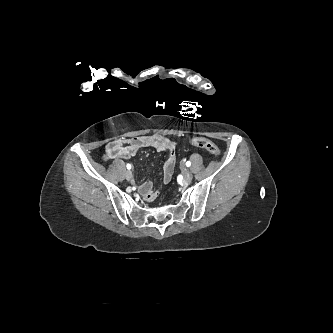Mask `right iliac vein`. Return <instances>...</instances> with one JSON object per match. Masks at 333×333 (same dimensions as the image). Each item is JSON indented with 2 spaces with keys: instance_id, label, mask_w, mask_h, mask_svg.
I'll return each instance as SVG.
<instances>
[{
  "instance_id": "obj_1",
  "label": "right iliac vein",
  "mask_w": 333,
  "mask_h": 333,
  "mask_svg": "<svg viewBox=\"0 0 333 333\" xmlns=\"http://www.w3.org/2000/svg\"><path fill=\"white\" fill-rule=\"evenodd\" d=\"M125 176H126V179H127V180H131L132 177H133L132 172H131L130 170H127V171L125 172Z\"/></svg>"
}]
</instances>
